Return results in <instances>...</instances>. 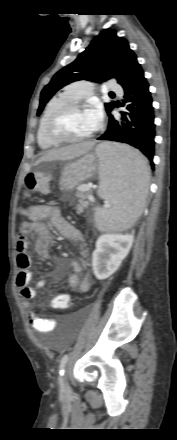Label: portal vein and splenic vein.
Masks as SVG:
<instances>
[{"instance_id":"18ae733b","label":"portal vein and splenic vein","mask_w":177,"mask_h":440,"mask_svg":"<svg viewBox=\"0 0 177 440\" xmlns=\"http://www.w3.org/2000/svg\"><path fill=\"white\" fill-rule=\"evenodd\" d=\"M83 189H84V190H89V189H90V186H85ZM88 198H89L90 200L93 199L91 196H89ZM110 206H111V205L108 204V203L104 205L105 208H109Z\"/></svg>"}]
</instances>
